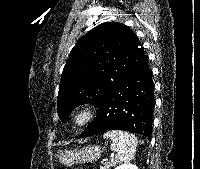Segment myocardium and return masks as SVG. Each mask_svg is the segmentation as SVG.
<instances>
[{"instance_id":"obj_1","label":"myocardium","mask_w":200,"mask_h":169,"mask_svg":"<svg viewBox=\"0 0 200 169\" xmlns=\"http://www.w3.org/2000/svg\"><path fill=\"white\" fill-rule=\"evenodd\" d=\"M96 116V108L89 103L79 104L72 108L70 119L77 127L88 125Z\"/></svg>"}]
</instances>
